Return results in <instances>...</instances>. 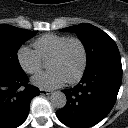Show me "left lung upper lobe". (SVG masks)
<instances>
[{
  "label": "left lung upper lobe",
  "mask_w": 128,
  "mask_h": 128,
  "mask_svg": "<svg viewBox=\"0 0 128 128\" xmlns=\"http://www.w3.org/2000/svg\"><path fill=\"white\" fill-rule=\"evenodd\" d=\"M61 31L77 33L87 53L86 70L95 63L107 58H120L114 40L101 29L87 23L71 26Z\"/></svg>",
  "instance_id": "left-lung-upper-lobe-1"
}]
</instances>
